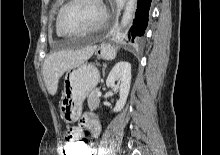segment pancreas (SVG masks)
<instances>
[{
    "label": "pancreas",
    "mask_w": 220,
    "mask_h": 155,
    "mask_svg": "<svg viewBox=\"0 0 220 155\" xmlns=\"http://www.w3.org/2000/svg\"><path fill=\"white\" fill-rule=\"evenodd\" d=\"M99 102L100 99L95 91L92 94H90L87 98L88 107L91 111L95 110L99 106Z\"/></svg>",
    "instance_id": "obj_1"
}]
</instances>
